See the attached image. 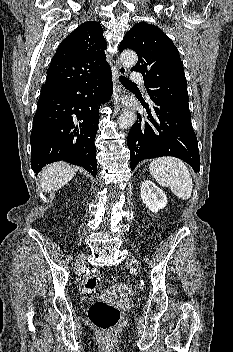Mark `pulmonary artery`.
Returning a JSON list of instances; mask_svg holds the SVG:
<instances>
[{
	"label": "pulmonary artery",
	"instance_id": "1",
	"mask_svg": "<svg viewBox=\"0 0 233 352\" xmlns=\"http://www.w3.org/2000/svg\"><path fill=\"white\" fill-rule=\"evenodd\" d=\"M130 80L135 83H142L143 82V76L139 72H132L130 76Z\"/></svg>",
	"mask_w": 233,
	"mask_h": 352
}]
</instances>
